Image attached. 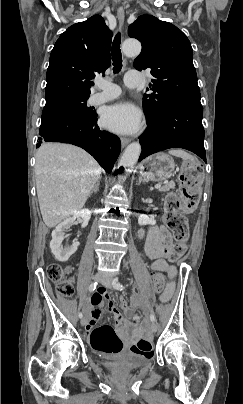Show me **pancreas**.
Wrapping results in <instances>:
<instances>
[{"label":"pancreas","mask_w":243,"mask_h":404,"mask_svg":"<svg viewBox=\"0 0 243 404\" xmlns=\"http://www.w3.org/2000/svg\"><path fill=\"white\" fill-rule=\"evenodd\" d=\"M174 188V182H168V184H165V186H162V188H158V190L159 192H168V190H174Z\"/></svg>","instance_id":"1"}]
</instances>
